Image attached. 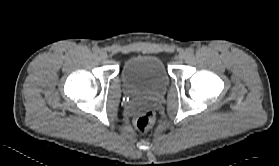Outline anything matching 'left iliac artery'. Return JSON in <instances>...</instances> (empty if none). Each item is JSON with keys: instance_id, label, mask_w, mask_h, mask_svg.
Wrapping results in <instances>:
<instances>
[{"instance_id": "obj_1", "label": "left iliac artery", "mask_w": 279, "mask_h": 166, "mask_svg": "<svg viewBox=\"0 0 279 166\" xmlns=\"http://www.w3.org/2000/svg\"><path fill=\"white\" fill-rule=\"evenodd\" d=\"M187 53H188L189 55H193V54H194V50H193L192 48H188V49H187Z\"/></svg>"}]
</instances>
